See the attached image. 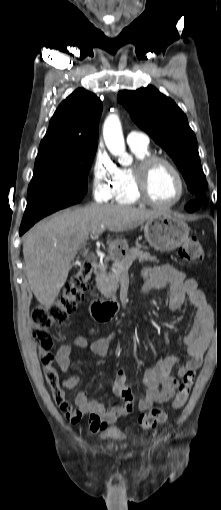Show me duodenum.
I'll list each match as a JSON object with an SVG mask.
<instances>
[{
	"label": "duodenum",
	"instance_id": "410a0bca",
	"mask_svg": "<svg viewBox=\"0 0 221 510\" xmlns=\"http://www.w3.org/2000/svg\"><path fill=\"white\" fill-rule=\"evenodd\" d=\"M93 270L96 276L102 275L105 271L104 263L96 261L93 265ZM117 309L115 302H106L101 299H93L89 305V311L91 316L97 321L108 320Z\"/></svg>",
	"mask_w": 221,
	"mask_h": 510
}]
</instances>
